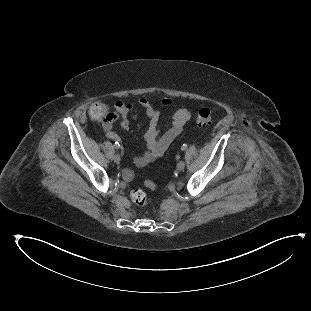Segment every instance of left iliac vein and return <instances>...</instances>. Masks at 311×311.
<instances>
[{
  "mask_svg": "<svg viewBox=\"0 0 311 311\" xmlns=\"http://www.w3.org/2000/svg\"><path fill=\"white\" fill-rule=\"evenodd\" d=\"M184 168H185L184 161H179L178 164H177V170L180 172V171H183Z\"/></svg>",
  "mask_w": 311,
  "mask_h": 311,
  "instance_id": "obj_1",
  "label": "left iliac vein"
}]
</instances>
